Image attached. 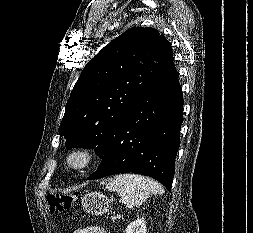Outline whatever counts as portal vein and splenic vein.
I'll return each instance as SVG.
<instances>
[{"label": "portal vein and splenic vein", "instance_id": "18ae733b", "mask_svg": "<svg viewBox=\"0 0 253 233\" xmlns=\"http://www.w3.org/2000/svg\"><path fill=\"white\" fill-rule=\"evenodd\" d=\"M117 218H118V219H120V218H121V216H120V215H118V216H117Z\"/></svg>", "mask_w": 253, "mask_h": 233}]
</instances>
